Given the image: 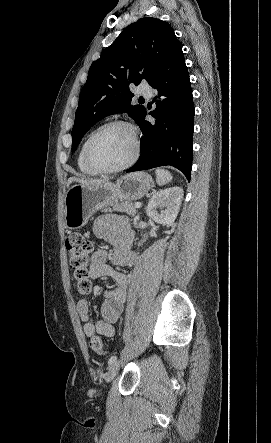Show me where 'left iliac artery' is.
Returning a JSON list of instances; mask_svg holds the SVG:
<instances>
[{
  "label": "left iliac artery",
  "instance_id": "left-iliac-artery-1",
  "mask_svg": "<svg viewBox=\"0 0 271 443\" xmlns=\"http://www.w3.org/2000/svg\"><path fill=\"white\" fill-rule=\"evenodd\" d=\"M116 361H117V356H111L108 360V365H111Z\"/></svg>",
  "mask_w": 271,
  "mask_h": 443
}]
</instances>
